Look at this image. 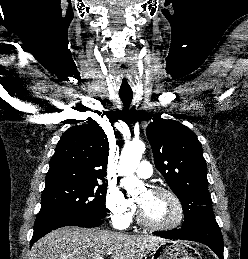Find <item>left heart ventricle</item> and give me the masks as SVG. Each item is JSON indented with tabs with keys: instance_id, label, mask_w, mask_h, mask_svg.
Instances as JSON below:
<instances>
[{
	"instance_id": "left-heart-ventricle-1",
	"label": "left heart ventricle",
	"mask_w": 248,
	"mask_h": 259,
	"mask_svg": "<svg viewBox=\"0 0 248 259\" xmlns=\"http://www.w3.org/2000/svg\"><path fill=\"white\" fill-rule=\"evenodd\" d=\"M145 218L156 225H167L177 217V207L173 200L163 193L144 191L137 199Z\"/></svg>"
}]
</instances>
